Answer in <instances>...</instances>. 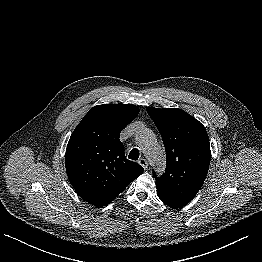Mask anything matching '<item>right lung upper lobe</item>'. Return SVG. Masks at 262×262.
<instances>
[{
  "mask_svg": "<svg viewBox=\"0 0 262 262\" xmlns=\"http://www.w3.org/2000/svg\"><path fill=\"white\" fill-rule=\"evenodd\" d=\"M139 108L132 104H103L93 107L73 131L66 148L65 166L77 194L102 207L117 197L143 167L125 157L119 139Z\"/></svg>",
  "mask_w": 262,
  "mask_h": 262,
  "instance_id": "obj_1",
  "label": "right lung upper lobe"
}]
</instances>
